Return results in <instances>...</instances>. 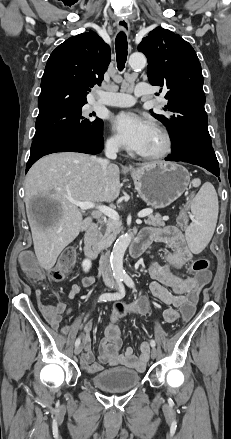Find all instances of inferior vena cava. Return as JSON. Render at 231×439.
Listing matches in <instances>:
<instances>
[{
  "label": "inferior vena cava",
  "mask_w": 231,
  "mask_h": 439,
  "mask_svg": "<svg viewBox=\"0 0 231 439\" xmlns=\"http://www.w3.org/2000/svg\"><path fill=\"white\" fill-rule=\"evenodd\" d=\"M119 150V144L116 141H107L105 144V156L106 159H99L104 175L107 173V168L110 166L109 159H116L117 152ZM101 274L103 280L108 282L113 280L112 268L110 263V252L103 254L99 261Z\"/></svg>",
  "instance_id": "602c4592"
}]
</instances>
